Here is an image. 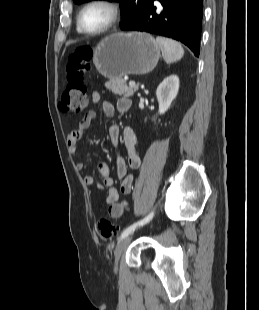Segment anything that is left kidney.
<instances>
[{"label": "left kidney", "instance_id": "obj_1", "mask_svg": "<svg viewBox=\"0 0 259 310\" xmlns=\"http://www.w3.org/2000/svg\"><path fill=\"white\" fill-rule=\"evenodd\" d=\"M179 91V78L177 75L166 77L157 87L156 96L159 103V114H164L171 106Z\"/></svg>", "mask_w": 259, "mask_h": 310}]
</instances>
